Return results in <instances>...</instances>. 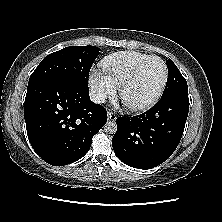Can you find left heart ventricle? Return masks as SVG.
Instances as JSON below:
<instances>
[{"instance_id": "1", "label": "left heart ventricle", "mask_w": 222, "mask_h": 222, "mask_svg": "<svg viewBox=\"0 0 222 222\" xmlns=\"http://www.w3.org/2000/svg\"><path fill=\"white\" fill-rule=\"evenodd\" d=\"M164 75V68L159 60H151L140 72L136 81L124 93L129 104H140L150 99L159 89Z\"/></svg>"}]
</instances>
